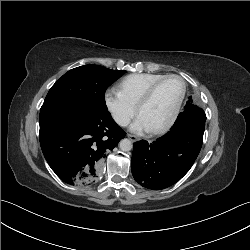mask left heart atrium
I'll return each instance as SVG.
<instances>
[{
  "label": "left heart atrium",
  "mask_w": 250,
  "mask_h": 250,
  "mask_svg": "<svg viewBox=\"0 0 250 250\" xmlns=\"http://www.w3.org/2000/svg\"><path fill=\"white\" fill-rule=\"evenodd\" d=\"M131 130L137 133L147 132L149 131V127L144 121V119L139 116L137 120L132 124Z\"/></svg>",
  "instance_id": "39dd6f15"
}]
</instances>
